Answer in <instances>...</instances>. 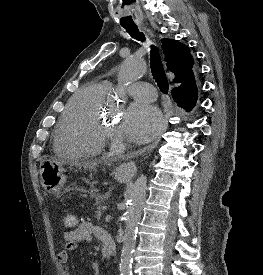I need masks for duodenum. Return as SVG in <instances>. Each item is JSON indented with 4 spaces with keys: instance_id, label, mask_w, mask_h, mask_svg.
Instances as JSON below:
<instances>
[{
    "instance_id": "obj_1",
    "label": "duodenum",
    "mask_w": 263,
    "mask_h": 275,
    "mask_svg": "<svg viewBox=\"0 0 263 275\" xmlns=\"http://www.w3.org/2000/svg\"><path fill=\"white\" fill-rule=\"evenodd\" d=\"M102 242H103V251H102L103 257L105 259L114 258L116 255V244L113 238L111 237V235L105 232L102 238Z\"/></svg>"
}]
</instances>
